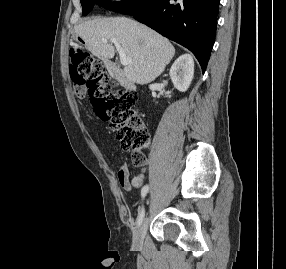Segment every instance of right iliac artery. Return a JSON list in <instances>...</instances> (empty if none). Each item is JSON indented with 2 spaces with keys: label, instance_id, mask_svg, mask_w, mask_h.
I'll use <instances>...</instances> for the list:
<instances>
[{
  "label": "right iliac artery",
  "instance_id": "obj_1",
  "mask_svg": "<svg viewBox=\"0 0 286 269\" xmlns=\"http://www.w3.org/2000/svg\"><path fill=\"white\" fill-rule=\"evenodd\" d=\"M148 190H149V186L148 185L143 186V188L141 190L142 198H144L146 196ZM144 215H145V210H144V207H142L140 212H139V216H138V220H137V224L138 225H140L142 223Z\"/></svg>",
  "mask_w": 286,
  "mask_h": 269
}]
</instances>
